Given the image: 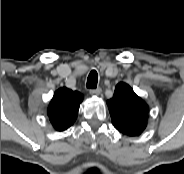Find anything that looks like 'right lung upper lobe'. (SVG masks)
Returning <instances> with one entry per match:
<instances>
[{"instance_id": "1", "label": "right lung upper lobe", "mask_w": 184, "mask_h": 174, "mask_svg": "<svg viewBox=\"0 0 184 174\" xmlns=\"http://www.w3.org/2000/svg\"><path fill=\"white\" fill-rule=\"evenodd\" d=\"M83 98L80 92L66 87L55 91L48 106L47 115L56 130H66L75 122Z\"/></svg>"}]
</instances>
